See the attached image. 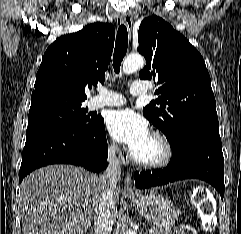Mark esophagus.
<instances>
[{"label":"esophagus","instance_id":"34e87169","mask_svg":"<svg viewBox=\"0 0 241 234\" xmlns=\"http://www.w3.org/2000/svg\"><path fill=\"white\" fill-rule=\"evenodd\" d=\"M120 22H122L129 34L131 33V29H132V23H133V17H132V12L129 11L128 13H126L125 15H123L120 19ZM124 193L126 195H129V196H135L137 195V191L134 187V184H133V181L130 177V174H127L126 178H125V184H124V189H123Z\"/></svg>","mask_w":241,"mask_h":234}]
</instances>
